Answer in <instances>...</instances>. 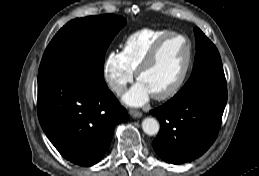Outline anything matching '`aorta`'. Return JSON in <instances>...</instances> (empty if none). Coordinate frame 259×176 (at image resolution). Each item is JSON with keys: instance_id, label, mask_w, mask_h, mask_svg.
<instances>
[{"instance_id": "762f6f07", "label": "aorta", "mask_w": 259, "mask_h": 176, "mask_svg": "<svg viewBox=\"0 0 259 176\" xmlns=\"http://www.w3.org/2000/svg\"><path fill=\"white\" fill-rule=\"evenodd\" d=\"M142 129L147 135L153 136L158 134L160 125L156 119L147 117L142 121Z\"/></svg>"}]
</instances>
